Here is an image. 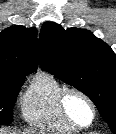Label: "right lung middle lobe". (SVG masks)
I'll return each mask as SVG.
<instances>
[{"mask_svg":"<svg viewBox=\"0 0 116 134\" xmlns=\"http://www.w3.org/2000/svg\"><path fill=\"white\" fill-rule=\"evenodd\" d=\"M23 82L13 85H0V123L13 121V107Z\"/></svg>","mask_w":116,"mask_h":134,"instance_id":"dd1d6c3e","label":"right lung middle lobe"}]
</instances>
